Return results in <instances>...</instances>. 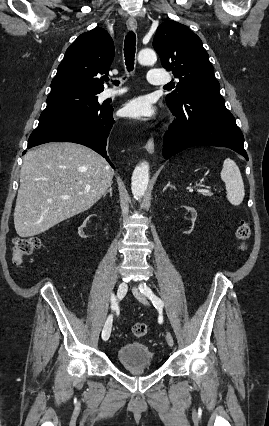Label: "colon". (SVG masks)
<instances>
[{"instance_id":"obj_1","label":"colon","mask_w":269,"mask_h":426,"mask_svg":"<svg viewBox=\"0 0 269 426\" xmlns=\"http://www.w3.org/2000/svg\"><path fill=\"white\" fill-rule=\"evenodd\" d=\"M236 237L240 241V249L246 248V242L250 237V226L246 221H242L236 230ZM41 246V241L38 237H17L14 240L13 261L15 264H20L23 258L30 256ZM134 336L140 338L147 334V326L144 323H136L132 327Z\"/></svg>"}]
</instances>
